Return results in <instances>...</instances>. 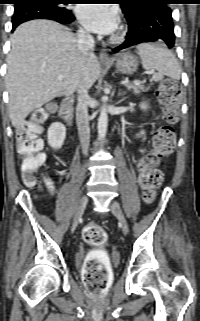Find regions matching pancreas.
Returning <instances> with one entry per match:
<instances>
[{
  "mask_svg": "<svg viewBox=\"0 0 200 321\" xmlns=\"http://www.w3.org/2000/svg\"><path fill=\"white\" fill-rule=\"evenodd\" d=\"M126 87L129 90H133L135 93L146 92L149 90V87H145L143 83H138V84L129 83V84H126Z\"/></svg>",
  "mask_w": 200,
  "mask_h": 321,
  "instance_id": "1",
  "label": "pancreas"
}]
</instances>
